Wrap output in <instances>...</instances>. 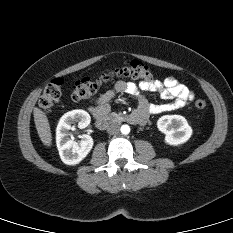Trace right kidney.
Here are the masks:
<instances>
[{
  "mask_svg": "<svg viewBox=\"0 0 233 233\" xmlns=\"http://www.w3.org/2000/svg\"><path fill=\"white\" fill-rule=\"evenodd\" d=\"M91 121L90 115L84 110H72L65 113L56 128V144L61 160L67 165L80 163L93 147V139L89 135H82L76 142L70 138L69 130L72 124L78 123V128H86Z\"/></svg>",
  "mask_w": 233,
  "mask_h": 233,
  "instance_id": "right-kidney-1",
  "label": "right kidney"
}]
</instances>
